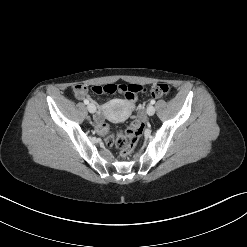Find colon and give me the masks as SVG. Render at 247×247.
Here are the masks:
<instances>
[{
	"label": "colon",
	"instance_id": "colon-1",
	"mask_svg": "<svg viewBox=\"0 0 247 247\" xmlns=\"http://www.w3.org/2000/svg\"><path fill=\"white\" fill-rule=\"evenodd\" d=\"M76 93H83L88 88L85 85L75 86ZM92 92L95 95L107 93L115 94L120 93L125 95L127 101L131 104L137 103L139 96L138 92L145 95L151 93L153 97L161 98L165 97L170 92V87L165 83H157L151 87H144L135 84H107L102 86H94ZM101 132L105 135V143L108 146L116 147L124 156L129 155L139 138L141 137L144 130V123L141 120V116L138 119L132 121L125 130L117 133L116 135L110 132L108 125L103 124L100 128Z\"/></svg>",
	"mask_w": 247,
	"mask_h": 247
}]
</instances>
